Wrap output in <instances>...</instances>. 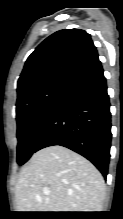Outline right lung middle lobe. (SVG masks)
<instances>
[{
    "label": "right lung middle lobe",
    "instance_id": "1",
    "mask_svg": "<svg viewBox=\"0 0 123 219\" xmlns=\"http://www.w3.org/2000/svg\"><path fill=\"white\" fill-rule=\"evenodd\" d=\"M67 82H52L17 99V163L24 164L36 152V142L63 93Z\"/></svg>",
    "mask_w": 123,
    "mask_h": 219
}]
</instances>
